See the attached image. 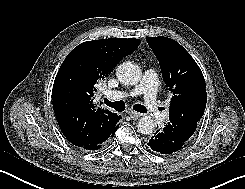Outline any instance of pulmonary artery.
<instances>
[{
  "mask_svg": "<svg viewBox=\"0 0 245 189\" xmlns=\"http://www.w3.org/2000/svg\"><path fill=\"white\" fill-rule=\"evenodd\" d=\"M158 75L153 69L144 71L139 84L128 90L113 91L111 98L113 100H122L132 98L140 94H144L146 104L154 109L157 106L156 89H157Z\"/></svg>",
  "mask_w": 245,
  "mask_h": 189,
  "instance_id": "1",
  "label": "pulmonary artery"
}]
</instances>
